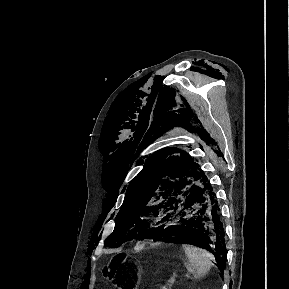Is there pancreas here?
<instances>
[{"label": "pancreas", "instance_id": "obj_1", "mask_svg": "<svg viewBox=\"0 0 289 289\" xmlns=\"http://www.w3.org/2000/svg\"><path fill=\"white\" fill-rule=\"evenodd\" d=\"M161 289H169V288H167L166 286H163Z\"/></svg>", "mask_w": 289, "mask_h": 289}]
</instances>
